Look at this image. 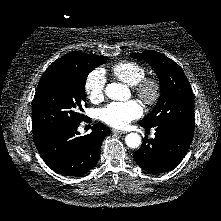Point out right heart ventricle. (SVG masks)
I'll return each instance as SVG.
<instances>
[{
  "label": "right heart ventricle",
  "instance_id": "obj_1",
  "mask_svg": "<svg viewBox=\"0 0 221 221\" xmlns=\"http://www.w3.org/2000/svg\"><path fill=\"white\" fill-rule=\"evenodd\" d=\"M114 77L126 83L129 86L135 85L146 75V69L132 61H121L111 67Z\"/></svg>",
  "mask_w": 221,
  "mask_h": 221
}]
</instances>
